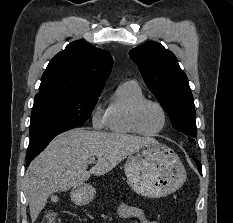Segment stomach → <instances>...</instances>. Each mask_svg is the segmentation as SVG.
I'll return each instance as SVG.
<instances>
[{
    "label": "stomach",
    "mask_w": 233,
    "mask_h": 223,
    "mask_svg": "<svg viewBox=\"0 0 233 223\" xmlns=\"http://www.w3.org/2000/svg\"><path fill=\"white\" fill-rule=\"evenodd\" d=\"M124 171L131 187L144 197H163L186 181V169L177 153L163 143H144L128 155ZM70 197L76 205H88L96 197L92 183L73 187Z\"/></svg>",
    "instance_id": "0dacf381"
}]
</instances>
